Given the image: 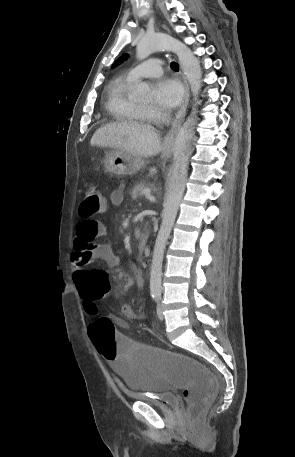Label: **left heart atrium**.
Wrapping results in <instances>:
<instances>
[{"label":"left heart atrium","mask_w":295,"mask_h":457,"mask_svg":"<svg viewBox=\"0 0 295 457\" xmlns=\"http://www.w3.org/2000/svg\"><path fill=\"white\" fill-rule=\"evenodd\" d=\"M183 92L180 84L173 79H161L154 89L155 103L163 109L175 108L181 102Z\"/></svg>","instance_id":"1"}]
</instances>
